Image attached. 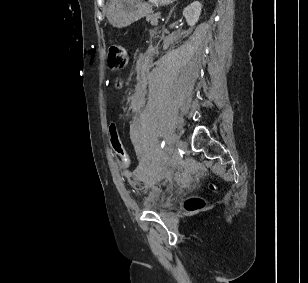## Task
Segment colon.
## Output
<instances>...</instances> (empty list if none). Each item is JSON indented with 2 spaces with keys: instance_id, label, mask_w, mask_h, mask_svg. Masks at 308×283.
I'll use <instances>...</instances> for the list:
<instances>
[{
  "instance_id": "1",
  "label": "colon",
  "mask_w": 308,
  "mask_h": 283,
  "mask_svg": "<svg viewBox=\"0 0 308 283\" xmlns=\"http://www.w3.org/2000/svg\"><path fill=\"white\" fill-rule=\"evenodd\" d=\"M108 63L109 66L114 70L124 69L128 64V54L125 48L119 44L118 42L111 40L108 46ZM109 136L111 146L116 153V155L120 158L123 166L129 165V155L126 150L125 145L123 144L117 126L115 123H111L109 126ZM202 205V201L193 198L188 201L187 206L189 208L195 209Z\"/></svg>"
}]
</instances>
